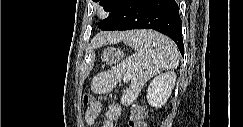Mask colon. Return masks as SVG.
Wrapping results in <instances>:
<instances>
[{"instance_id": "obj_1", "label": "colon", "mask_w": 243, "mask_h": 127, "mask_svg": "<svg viewBox=\"0 0 243 127\" xmlns=\"http://www.w3.org/2000/svg\"><path fill=\"white\" fill-rule=\"evenodd\" d=\"M91 98L88 95L84 96V104H87ZM144 110L138 105H133L128 118L129 127H145L146 124L143 121Z\"/></svg>"}]
</instances>
